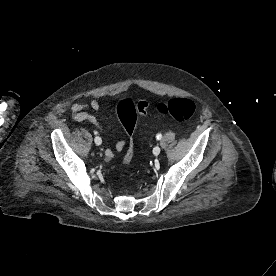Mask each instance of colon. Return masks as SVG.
<instances>
[{"instance_id": "5ec220e1", "label": "colon", "mask_w": 276, "mask_h": 276, "mask_svg": "<svg viewBox=\"0 0 276 276\" xmlns=\"http://www.w3.org/2000/svg\"><path fill=\"white\" fill-rule=\"evenodd\" d=\"M148 108L149 103L145 100L134 103L131 99H123L116 105L118 119L129 136L128 152L125 156L124 164H128L131 158L137 115L145 116ZM156 110L160 114L169 115L178 121H185L193 115L195 104L191 99L175 97L167 102L158 103Z\"/></svg>"}]
</instances>
